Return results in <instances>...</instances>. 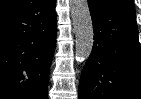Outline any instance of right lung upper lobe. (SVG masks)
Listing matches in <instances>:
<instances>
[{
	"label": "right lung upper lobe",
	"mask_w": 141,
	"mask_h": 99,
	"mask_svg": "<svg viewBox=\"0 0 141 99\" xmlns=\"http://www.w3.org/2000/svg\"><path fill=\"white\" fill-rule=\"evenodd\" d=\"M23 0H0V12L5 11L19 3Z\"/></svg>",
	"instance_id": "obj_1"
}]
</instances>
